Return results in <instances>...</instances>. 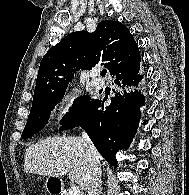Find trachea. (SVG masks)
Listing matches in <instances>:
<instances>
[{"label":"trachea","mask_w":189,"mask_h":195,"mask_svg":"<svg viewBox=\"0 0 189 195\" xmlns=\"http://www.w3.org/2000/svg\"><path fill=\"white\" fill-rule=\"evenodd\" d=\"M107 73V70L106 69H103L102 72L100 73L101 76H105Z\"/></svg>","instance_id":"trachea-1"}]
</instances>
